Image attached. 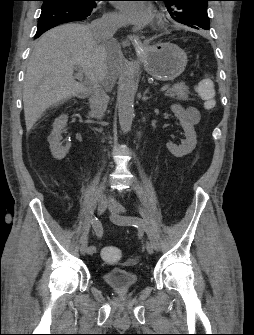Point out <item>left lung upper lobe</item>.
<instances>
[{
    "label": "left lung upper lobe",
    "instance_id": "obj_1",
    "mask_svg": "<svg viewBox=\"0 0 254 335\" xmlns=\"http://www.w3.org/2000/svg\"><path fill=\"white\" fill-rule=\"evenodd\" d=\"M171 17L179 23L195 29H209L207 5L210 0H162Z\"/></svg>",
    "mask_w": 254,
    "mask_h": 335
}]
</instances>
